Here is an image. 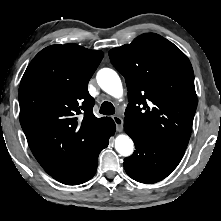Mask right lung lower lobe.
I'll use <instances>...</instances> for the list:
<instances>
[{
  "mask_svg": "<svg viewBox=\"0 0 221 221\" xmlns=\"http://www.w3.org/2000/svg\"><path fill=\"white\" fill-rule=\"evenodd\" d=\"M114 133L115 124L109 119L102 133L75 161L51 176L66 185H78L91 179L97 170L99 153L108 146Z\"/></svg>",
  "mask_w": 221,
  "mask_h": 221,
  "instance_id": "right-lung-lower-lobe-1",
  "label": "right lung lower lobe"
}]
</instances>
